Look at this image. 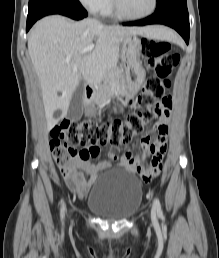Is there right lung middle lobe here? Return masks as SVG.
Instances as JSON below:
<instances>
[{
    "mask_svg": "<svg viewBox=\"0 0 219 258\" xmlns=\"http://www.w3.org/2000/svg\"><path fill=\"white\" fill-rule=\"evenodd\" d=\"M54 0H29L28 14Z\"/></svg>",
    "mask_w": 219,
    "mask_h": 258,
    "instance_id": "dd1d6c3e",
    "label": "right lung middle lobe"
}]
</instances>
